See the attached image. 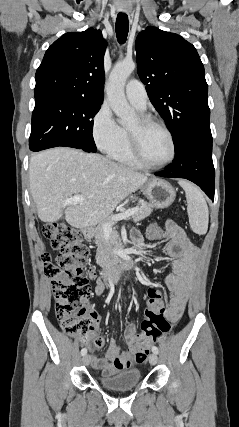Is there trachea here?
<instances>
[{
  "instance_id": "trachea-1",
  "label": "trachea",
  "mask_w": 239,
  "mask_h": 427,
  "mask_svg": "<svg viewBox=\"0 0 239 427\" xmlns=\"http://www.w3.org/2000/svg\"><path fill=\"white\" fill-rule=\"evenodd\" d=\"M128 30V16L126 14H119L116 19V36L120 44H124L126 42Z\"/></svg>"
}]
</instances>
